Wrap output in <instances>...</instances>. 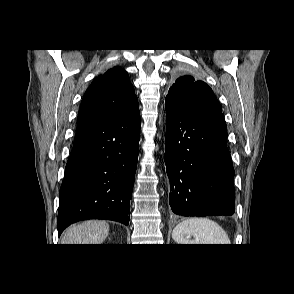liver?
<instances>
[{"label": "liver", "instance_id": "liver-1", "mask_svg": "<svg viewBox=\"0 0 294 294\" xmlns=\"http://www.w3.org/2000/svg\"><path fill=\"white\" fill-rule=\"evenodd\" d=\"M109 234V224L101 220H89L67 228L62 244H101Z\"/></svg>", "mask_w": 294, "mask_h": 294}]
</instances>
